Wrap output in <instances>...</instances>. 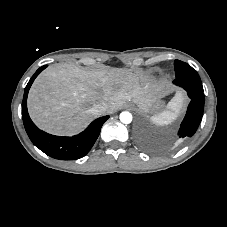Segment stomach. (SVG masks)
<instances>
[{"instance_id":"obj_1","label":"stomach","mask_w":227,"mask_h":227,"mask_svg":"<svg viewBox=\"0 0 227 227\" xmlns=\"http://www.w3.org/2000/svg\"><path fill=\"white\" fill-rule=\"evenodd\" d=\"M132 103H135L132 101ZM136 104V103H135ZM141 110L146 111V112H155L161 110L163 107V102L161 100H156L154 101L151 105H149L147 108H143L139 104H136Z\"/></svg>"}]
</instances>
